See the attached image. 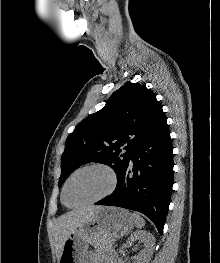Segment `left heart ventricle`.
Returning a JSON list of instances; mask_svg holds the SVG:
<instances>
[{
	"mask_svg": "<svg viewBox=\"0 0 220 263\" xmlns=\"http://www.w3.org/2000/svg\"><path fill=\"white\" fill-rule=\"evenodd\" d=\"M110 183L108 174L101 169H87L73 177L65 194L68 205H76L104 193Z\"/></svg>",
	"mask_w": 220,
	"mask_h": 263,
	"instance_id": "b2bd125f",
	"label": "left heart ventricle"
}]
</instances>
